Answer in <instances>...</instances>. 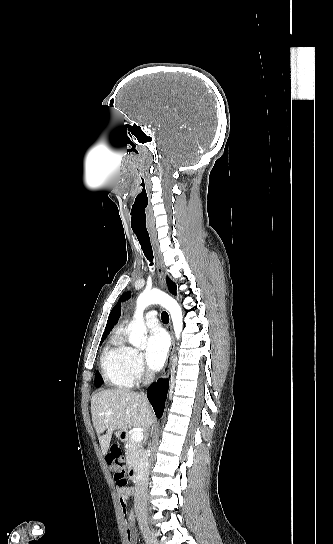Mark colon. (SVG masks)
Instances as JSON below:
<instances>
[{"label": "colon", "instance_id": "1", "mask_svg": "<svg viewBox=\"0 0 333 544\" xmlns=\"http://www.w3.org/2000/svg\"><path fill=\"white\" fill-rule=\"evenodd\" d=\"M106 461L110 465H115L116 470L114 473V480L116 484L123 488L127 485V478L125 476L123 466H124V458L122 455V450L118 445H113L109 451V453L106 455Z\"/></svg>", "mask_w": 333, "mask_h": 544}]
</instances>
